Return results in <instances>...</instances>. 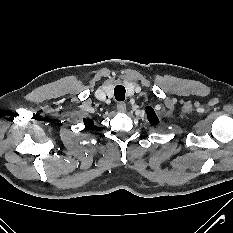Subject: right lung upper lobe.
Returning <instances> with one entry per match:
<instances>
[{"instance_id": "obj_1", "label": "right lung upper lobe", "mask_w": 233, "mask_h": 233, "mask_svg": "<svg viewBox=\"0 0 233 233\" xmlns=\"http://www.w3.org/2000/svg\"><path fill=\"white\" fill-rule=\"evenodd\" d=\"M84 122H85V125H86L87 128H92L93 127V121L92 120L85 119Z\"/></svg>"}]
</instances>
